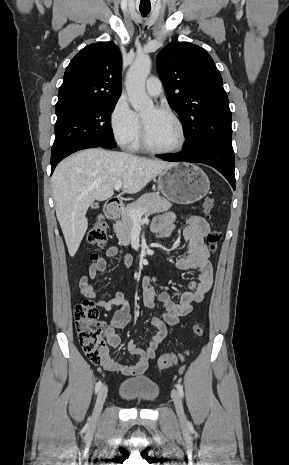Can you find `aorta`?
Wrapping results in <instances>:
<instances>
[{"label":"aorta","mask_w":289,"mask_h":465,"mask_svg":"<svg viewBox=\"0 0 289 465\" xmlns=\"http://www.w3.org/2000/svg\"><path fill=\"white\" fill-rule=\"evenodd\" d=\"M151 59L142 56L135 59L126 76V90L135 111L143 112L153 107V101L145 91V81L150 73Z\"/></svg>","instance_id":"762f6f07"}]
</instances>
